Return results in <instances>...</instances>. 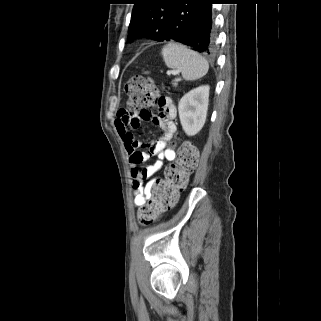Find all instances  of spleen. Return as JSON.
I'll return each mask as SVG.
<instances>
[{
    "instance_id": "spleen-1",
    "label": "spleen",
    "mask_w": 321,
    "mask_h": 321,
    "mask_svg": "<svg viewBox=\"0 0 321 321\" xmlns=\"http://www.w3.org/2000/svg\"><path fill=\"white\" fill-rule=\"evenodd\" d=\"M161 54L165 65L180 71L186 81L197 80L208 72L207 60L185 45L169 42L162 48Z\"/></svg>"
}]
</instances>
